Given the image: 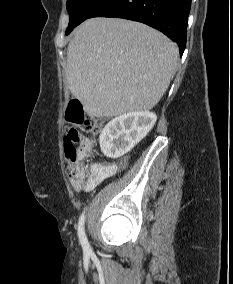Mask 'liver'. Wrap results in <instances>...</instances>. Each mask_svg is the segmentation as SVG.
<instances>
[{"label":"liver","mask_w":233,"mask_h":284,"mask_svg":"<svg viewBox=\"0 0 233 284\" xmlns=\"http://www.w3.org/2000/svg\"><path fill=\"white\" fill-rule=\"evenodd\" d=\"M179 51L163 33L139 22L93 18L67 49V83L91 115L115 117L152 109L175 74Z\"/></svg>","instance_id":"obj_1"}]
</instances>
